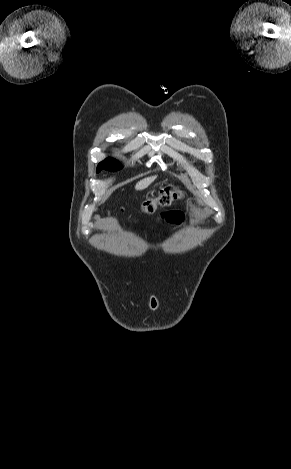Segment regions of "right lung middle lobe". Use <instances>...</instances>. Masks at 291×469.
Segmentation results:
<instances>
[{"mask_svg": "<svg viewBox=\"0 0 291 469\" xmlns=\"http://www.w3.org/2000/svg\"><path fill=\"white\" fill-rule=\"evenodd\" d=\"M121 168L122 166L116 160L112 158H107L98 164L97 172L101 171L102 169H105L108 171H117Z\"/></svg>", "mask_w": 291, "mask_h": 469, "instance_id": "1", "label": "right lung middle lobe"}]
</instances>
